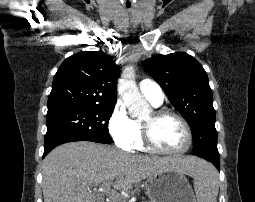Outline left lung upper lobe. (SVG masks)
<instances>
[{"mask_svg": "<svg viewBox=\"0 0 255 202\" xmlns=\"http://www.w3.org/2000/svg\"><path fill=\"white\" fill-rule=\"evenodd\" d=\"M143 67L191 126L193 154L220 159L212 90L200 63L187 53L176 52L155 55L145 60Z\"/></svg>", "mask_w": 255, "mask_h": 202, "instance_id": "left-lung-upper-lobe-1", "label": "left lung upper lobe"}]
</instances>
